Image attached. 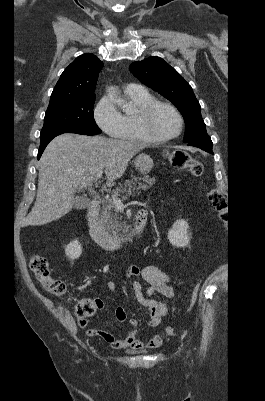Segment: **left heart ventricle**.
I'll use <instances>...</instances> for the list:
<instances>
[{"label": "left heart ventricle", "instance_id": "b2bd125f", "mask_svg": "<svg viewBox=\"0 0 265 401\" xmlns=\"http://www.w3.org/2000/svg\"><path fill=\"white\" fill-rule=\"evenodd\" d=\"M148 127L155 138H166L178 132L179 121L172 111L165 107H158L149 117Z\"/></svg>", "mask_w": 265, "mask_h": 401}]
</instances>
